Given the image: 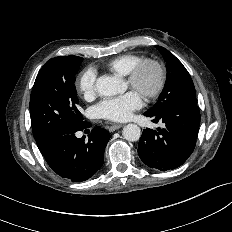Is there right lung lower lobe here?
<instances>
[{"mask_svg":"<svg viewBox=\"0 0 232 232\" xmlns=\"http://www.w3.org/2000/svg\"><path fill=\"white\" fill-rule=\"evenodd\" d=\"M82 128L61 135L43 155L50 168L62 178L73 182H82L91 178L103 165L105 147L110 139V133L95 127L85 141V136L77 138L75 132Z\"/></svg>","mask_w":232,"mask_h":232,"instance_id":"1","label":"right lung lower lobe"}]
</instances>
